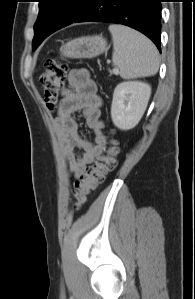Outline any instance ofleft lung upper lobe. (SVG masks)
<instances>
[{"label": "left lung upper lobe", "instance_id": "left-lung-upper-lobe-1", "mask_svg": "<svg viewBox=\"0 0 195 299\" xmlns=\"http://www.w3.org/2000/svg\"><path fill=\"white\" fill-rule=\"evenodd\" d=\"M90 0H39V14L34 25L32 48L53 32L75 23L83 14Z\"/></svg>", "mask_w": 195, "mask_h": 299}]
</instances>
